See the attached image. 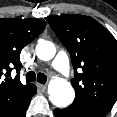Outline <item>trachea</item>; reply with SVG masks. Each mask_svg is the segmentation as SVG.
Returning <instances> with one entry per match:
<instances>
[{
  "label": "trachea",
  "instance_id": "1",
  "mask_svg": "<svg viewBox=\"0 0 117 117\" xmlns=\"http://www.w3.org/2000/svg\"><path fill=\"white\" fill-rule=\"evenodd\" d=\"M36 80L41 84H45L47 81V77L44 73H38L36 76L35 72H33V71H30L26 74L27 82H34Z\"/></svg>",
  "mask_w": 117,
  "mask_h": 117
}]
</instances>
